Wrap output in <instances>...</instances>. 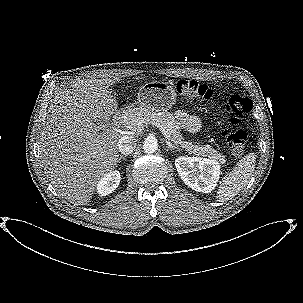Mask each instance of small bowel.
<instances>
[{"mask_svg": "<svg viewBox=\"0 0 303 303\" xmlns=\"http://www.w3.org/2000/svg\"><path fill=\"white\" fill-rule=\"evenodd\" d=\"M176 118L181 127L190 133L198 131L200 127V121L196 116L190 115L184 111H178Z\"/></svg>", "mask_w": 303, "mask_h": 303, "instance_id": "small-bowel-1", "label": "small bowel"}]
</instances>
